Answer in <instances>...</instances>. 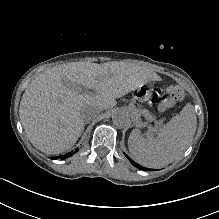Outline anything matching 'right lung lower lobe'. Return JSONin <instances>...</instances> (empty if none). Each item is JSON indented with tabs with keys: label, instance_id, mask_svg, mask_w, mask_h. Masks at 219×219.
Masks as SVG:
<instances>
[{
	"label": "right lung lower lobe",
	"instance_id": "obj_1",
	"mask_svg": "<svg viewBox=\"0 0 219 219\" xmlns=\"http://www.w3.org/2000/svg\"><path fill=\"white\" fill-rule=\"evenodd\" d=\"M72 155V153H68V154H66L65 156H62L61 157V159H65V158H67V157H69V156H71ZM59 157H53L52 159H58Z\"/></svg>",
	"mask_w": 219,
	"mask_h": 219
}]
</instances>
